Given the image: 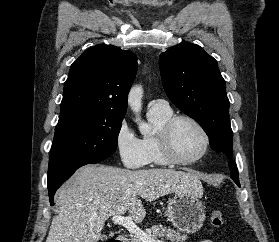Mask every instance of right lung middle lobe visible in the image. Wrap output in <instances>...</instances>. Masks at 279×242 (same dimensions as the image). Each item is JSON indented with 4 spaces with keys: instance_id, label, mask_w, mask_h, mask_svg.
Masks as SVG:
<instances>
[{
    "instance_id": "obj_1",
    "label": "right lung middle lobe",
    "mask_w": 279,
    "mask_h": 242,
    "mask_svg": "<svg viewBox=\"0 0 279 242\" xmlns=\"http://www.w3.org/2000/svg\"><path fill=\"white\" fill-rule=\"evenodd\" d=\"M122 120L123 117L97 116L81 110L60 114L48 178L80 159L114 154Z\"/></svg>"
}]
</instances>
